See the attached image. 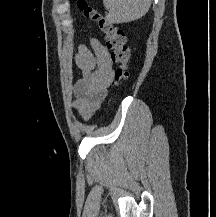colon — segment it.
Returning <instances> with one entry per match:
<instances>
[{
    "label": "colon",
    "instance_id": "1",
    "mask_svg": "<svg viewBox=\"0 0 216 217\" xmlns=\"http://www.w3.org/2000/svg\"><path fill=\"white\" fill-rule=\"evenodd\" d=\"M80 10L85 17L95 22L98 29L103 34L106 46L112 50L113 60L117 64L115 70V82L117 86L129 76L128 63L130 60V48L127 38L122 28L109 23L100 12L90 6L86 0H78Z\"/></svg>",
    "mask_w": 216,
    "mask_h": 217
}]
</instances>
